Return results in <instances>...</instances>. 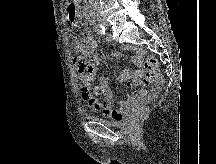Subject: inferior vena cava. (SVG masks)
<instances>
[{"label":"inferior vena cava","instance_id":"602c4592","mask_svg":"<svg viewBox=\"0 0 216 164\" xmlns=\"http://www.w3.org/2000/svg\"><path fill=\"white\" fill-rule=\"evenodd\" d=\"M95 2V5L97 6L98 5V0H93Z\"/></svg>","mask_w":216,"mask_h":164}]
</instances>
